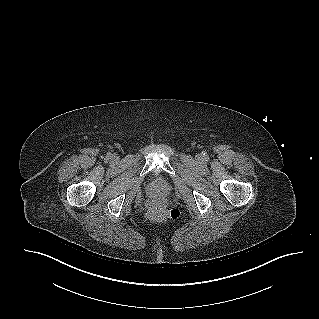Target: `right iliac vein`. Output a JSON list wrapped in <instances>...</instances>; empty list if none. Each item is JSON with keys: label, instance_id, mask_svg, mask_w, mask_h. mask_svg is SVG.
Masks as SVG:
<instances>
[{"label": "right iliac vein", "instance_id": "obj_1", "mask_svg": "<svg viewBox=\"0 0 319 319\" xmlns=\"http://www.w3.org/2000/svg\"><path fill=\"white\" fill-rule=\"evenodd\" d=\"M112 160H113V161H116V160H117V157H116V156H112Z\"/></svg>", "mask_w": 319, "mask_h": 319}]
</instances>
